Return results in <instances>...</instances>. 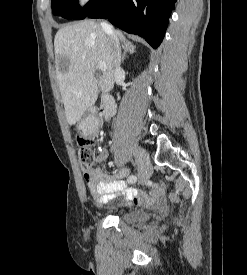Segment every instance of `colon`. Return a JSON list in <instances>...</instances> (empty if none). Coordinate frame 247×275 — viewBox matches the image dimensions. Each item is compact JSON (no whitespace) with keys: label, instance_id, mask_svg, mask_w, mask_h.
<instances>
[{"label":"colon","instance_id":"obj_1","mask_svg":"<svg viewBox=\"0 0 247 275\" xmlns=\"http://www.w3.org/2000/svg\"><path fill=\"white\" fill-rule=\"evenodd\" d=\"M79 162L81 170L86 173L95 160V154L92 149L93 140L89 138L79 139Z\"/></svg>","mask_w":247,"mask_h":275}]
</instances>
